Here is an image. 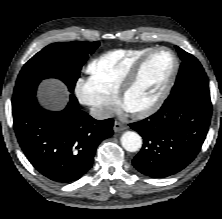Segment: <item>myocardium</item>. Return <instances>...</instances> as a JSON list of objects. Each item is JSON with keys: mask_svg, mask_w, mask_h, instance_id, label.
Wrapping results in <instances>:
<instances>
[{"mask_svg": "<svg viewBox=\"0 0 222 219\" xmlns=\"http://www.w3.org/2000/svg\"><path fill=\"white\" fill-rule=\"evenodd\" d=\"M168 52L172 55L173 57V67L172 70L170 72V75L162 89V91L160 92L159 96L156 98V100L150 104L149 106L140 109V110H135V111H130L131 114L136 117V118H145L148 117L152 114H154L155 112H157L161 106L163 105V103L165 102V100L167 99V97L170 94V91L175 83L178 71H179V67H180V63H179V59L177 54L168 47H164V46H160V47H155L152 48L151 50H149L148 52L144 53L131 67V69L128 71V73L123 77L118 92H117V100L118 102L125 106V99L126 96L128 95V93L132 90V88L135 86L136 82L139 79V76L141 74V71L145 65V63L147 62V60L154 54L158 53V52Z\"/></svg>", "mask_w": 222, "mask_h": 219, "instance_id": "obj_1", "label": "myocardium"}]
</instances>
